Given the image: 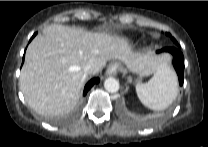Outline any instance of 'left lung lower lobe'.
I'll use <instances>...</instances> for the list:
<instances>
[{"instance_id":"1","label":"left lung lower lobe","mask_w":208,"mask_h":147,"mask_svg":"<svg viewBox=\"0 0 208 147\" xmlns=\"http://www.w3.org/2000/svg\"><path fill=\"white\" fill-rule=\"evenodd\" d=\"M162 51L170 52L173 55V66L179 78V84L183 85L184 81V56L178 47H168ZM159 52V51H158Z\"/></svg>"}]
</instances>
